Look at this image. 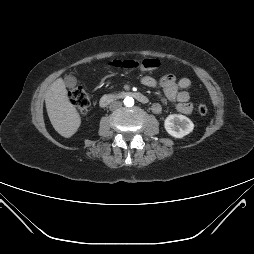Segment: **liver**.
I'll return each mask as SVG.
<instances>
[{
	"label": "liver",
	"mask_w": 254,
	"mask_h": 254,
	"mask_svg": "<svg viewBox=\"0 0 254 254\" xmlns=\"http://www.w3.org/2000/svg\"><path fill=\"white\" fill-rule=\"evenodd\" d=\"M45 104L54 129L65 138L74 135L81 124V117L69 101L62 78H58L50 85L46 92Z\"/></svg>",
	"instance_id": "1"
}]
</instances>
